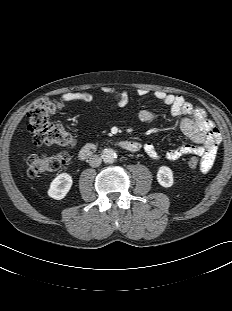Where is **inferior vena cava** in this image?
<instances>
[{"instance_id": "obj_1", "label": "inferior vena cava", "mask_w": 232, "mask_h": 311, "mask_svg": "<svg viewBox=\"0 0 232 311\" xmlns=\"http://www.w3.org/2000/svg\"><path fill=\"white\" fill-rule=\"evenodd\" d=\"M102 162V158L99 155H92L89 158V165L91 167H98Z\"/></svg>"}]
</instances>
